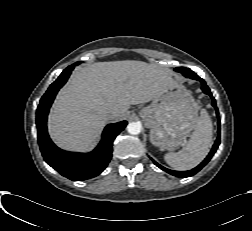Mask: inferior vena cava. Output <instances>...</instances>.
Wrapping results in <instances>:
<instances>
[{"label": "inferior vena cava", "instance_id": "1", "mask_svg": "<svg viewBox=\"0 0 252 231\" xmlns=\"http://www.w3.org/2000/svg\"><path fill=\"white\" fill-rule=\"evenodd\" d=\"M107 114L109 115V116H113L114 114H115V111L114 110H108L107 111Z\"/></svg>", "mask_w": 252, "mask_h": 231}]
</instances>
